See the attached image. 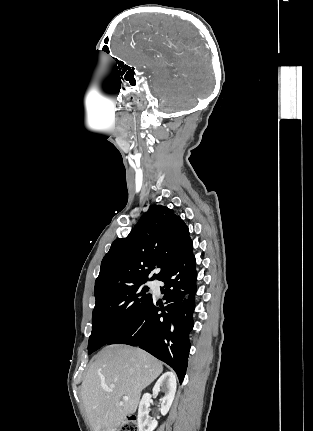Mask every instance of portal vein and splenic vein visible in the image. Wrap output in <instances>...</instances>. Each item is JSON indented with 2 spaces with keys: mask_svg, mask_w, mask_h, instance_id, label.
I'll return each instance as SVG.
<instances>
[{
  "mask_svg": "<svg viewBox=\"0 0 313 431\" xmlns=\"http://www.w3.org/2000/svg\"><path fill=\"white\" fill-rule=\"evenodd\" d=\"M103 388H104V390L105 391H107V392H112L113 391V389L112 388H109V387H107V386H103ZM125 400H127L128 399V397H123Z\"/></svg>",
  "mask_w": 313,
  "mask_h": 431,
  "instance_id": "1",
  "label": "portal vein and splenic vein"
}]
</instances>
